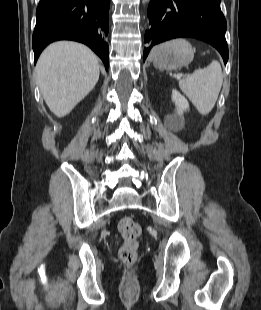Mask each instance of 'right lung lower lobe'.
<instances>
[{
	"label": "right lung lower lobe",
	"mask_w": 261,
	"mask_h": 310,
	"mask_svg": "<svg viewBox=\"0 0 261 310\" xmlns=\"http://www.w3.org/2000/svg\"><path fill=\"white\" fill-rule=\"evenodd\" d=\"M110 0H40L33 33L35 63L51 42L74 40L88 45L108 69Z\"/></svg>",
	"instance_id": "98d812e1"
}]
</instances>
